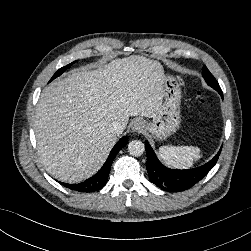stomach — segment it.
<instances>
[{
    "label": "stomach",
    "mask_w": 251,
    "mask_h": 251,
    "mask_svg": "<svg viewBox=\"0 0 251 251\" xmlns=\"http://www.w3.org/2000/svg\"><path fill=\"white\" fill-rule=\"evenodd\" d=\"M164 103L151 122H147V130L157 139L165 140L180 127L181 90L180 83L173 75H166L163 83Z\"/></svg>",
    "instance_id": "0dacf381"
}]
</instances>
